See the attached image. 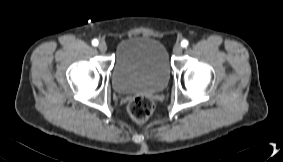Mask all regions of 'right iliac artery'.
<instances>
[{"label":"right iliac artery","mask_w":283,"mask_h":162,"mask_svg":"<svg viewBox=\"0 0 283 162\" xmlns=\"http://www.w3.org/2000/svg\"><path fill=\"white\" fill-rule=\"evenodd\" d=\"M92 45H93V46H97V45H98V40L94 39V40L92 41Z\"/></svg>","instance_id":"obj_1"}]
</instances>
